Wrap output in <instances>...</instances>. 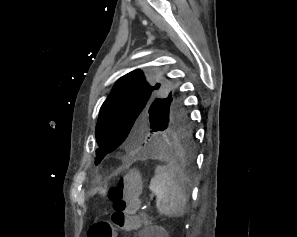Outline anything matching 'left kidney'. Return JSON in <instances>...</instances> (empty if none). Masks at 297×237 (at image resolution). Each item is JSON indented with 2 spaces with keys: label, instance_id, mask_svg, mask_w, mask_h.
I'll return each instance as SVG.
<instances>
[{
  "label": "left kidney",
  "instance_id": "1",
  "mask_svg": "<svg viewBox=\"0 0 297 237\" xmlns=\"http://www.w3.org/2000/svg\"><path fill=\"white\" fill-rule=\"evenodd\" d=\"M157 231H158V233H159V236L158 237H165V230L163 229V228H161V227H158L157 228Z\"/></svg>",
  "mask_w": 297,
  "mask_h": 237
}]
</instances>
